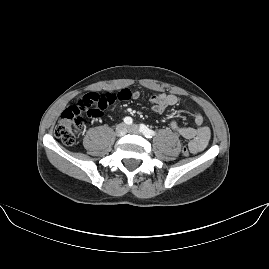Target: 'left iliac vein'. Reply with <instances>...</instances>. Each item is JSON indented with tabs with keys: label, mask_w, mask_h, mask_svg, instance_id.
<instances>
[{
	"label": "left iliac vein",
	"mask_w": 269,
	"mask_h": 269,
	"mask_svg": "<svg viewBox=\"0 0 269 269\" xmlns=\"http://www.w3.org/2000/svg\"><path fill=\"white\" fill-rule=\"evenodd\" d=\"M128 132L132 134H139L140 128L138 125H131L130 127H128Z\"/></svg>",
	"instance_id": "1"
}]
</instances>
